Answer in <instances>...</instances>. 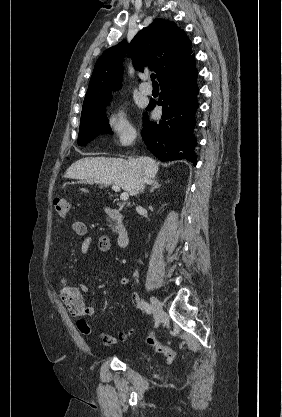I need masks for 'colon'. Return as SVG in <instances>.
<instances>
[{
	"instance_id": "5ec220e1",
	"label": "colon",
	"mask_w": 282,
	"mask_h": 417,
	"mask_svg": "<svg viewBox=\"0 0 282 417\" xmlns=\"http://www.w3.org/2000/svg\"><path fill=\"white\" fill-rule=\"evenodd\" d=\"M54 214L59 220H66L70 214V202L66 197H58L54 200ZM147 344L157 353L164 355L169 362L175 361L177 354L168 344L160 343L155 332L150 330L147 336Z\"/></svg>"
}]
</instances>
